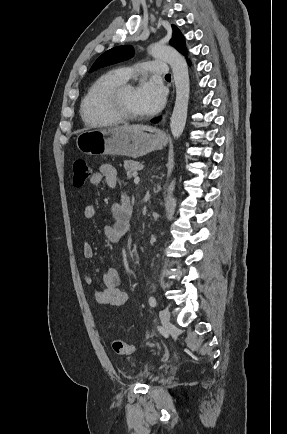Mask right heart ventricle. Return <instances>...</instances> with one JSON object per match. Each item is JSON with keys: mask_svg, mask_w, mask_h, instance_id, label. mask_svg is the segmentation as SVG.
I'll return each mask as SVG.
<instances>
[{"mask_svg": "<svg viewBox=\"0 0 287 434\" xmlns=\"http://www.w3.org/2000/svg\"><path fill=\"white\" fill-rule=\"evenodd\" d=\"M126 82L120 70H110L99 76L88 88L80 103V114L89 126H109L120 121L106 107L105 97L110 89Z\"/></svg>", "mask_w": 287, "mask_h": 434, "instance_id": "e07e8e85", "label": "right heart ventricle"}]
</instances>
